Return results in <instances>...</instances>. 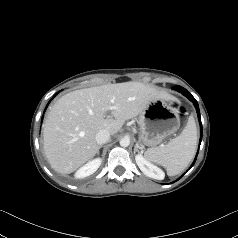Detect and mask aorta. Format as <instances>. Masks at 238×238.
Segmentation results:
<instances>
[{
    "label": "aorta",
    "instance_id": "aorta-1",
    "mask_svg": "<svg viewBox=\"0 0 238 238\" xmlns=\"http://www.w3.org/2000/svg\"><path fill=\"white\" fill-rule=\"evenodd\" d=\"M120 145L122 147H128L130 145V139L128 137H124L120 140Z\"/></svg>",
    "mask_w": 238,
    "mask_h": 238
}]
</instances>
